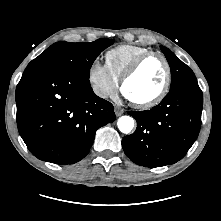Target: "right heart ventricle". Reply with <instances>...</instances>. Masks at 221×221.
<instances>
[{
	"mask_svg": "<svg viewBox=\"0 0 221 221\" xmlns=\"http://www.w3.org/2000/svg\"><path fill=\"white\" fill-rule=\"evenodd\" d=\"M150 51L149 48L136 44H121L105 53V66L112 77L119 81L141 55Z\"/></svg>",
	"mask_w": 221,
	"mask_h": 221,
	"instance_id": "obj_1",
	"label": "right heart ventricle"
}]
</instances>
